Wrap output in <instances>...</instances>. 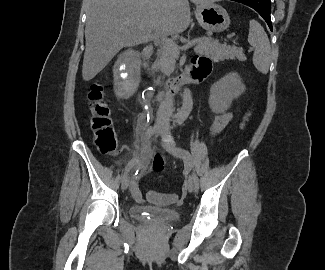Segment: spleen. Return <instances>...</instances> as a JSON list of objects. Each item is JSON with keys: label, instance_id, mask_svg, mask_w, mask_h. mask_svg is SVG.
<instances>
[{"label": "spleen", "instance_id": "spleen-1", "mask_svg": "<svg viewBox=\"0 0 325 270\" xmlns=\"http://www.w3.org/2000/svg\"><path fill=\"white\" fill-rule=\"evenodd\" d=\"M248 42L254 47L253 63L258 71L267 74L271 62V47L268 36L261 24L252 19L249 21Z\"/></svg>", "mask_w": 325, "mask_h": 270}]
</instances>
